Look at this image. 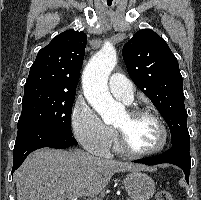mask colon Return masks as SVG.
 <instances>
[{
  "label": "colon",
  "instance_id": "1",
  "mask_svg": "<svg viewBox=\"0 0 201 200\" xmlns=\"http://www.w3.org/2000/svg\"><path fill=\"white\" fill-rule=\"evenodd\" d=\"M155 200H173V199L169 192L161 190L156 193Z\"/></svg>",
  "mask_w": 201,
  "mask_h": 200
}]
</instances>
